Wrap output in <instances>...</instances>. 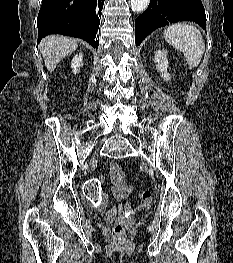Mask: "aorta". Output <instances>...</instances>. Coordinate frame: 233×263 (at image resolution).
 <instances>
[{
    "label": "aorta",
    "mask_w": 233,
    "mask_h": 263,
    "mask_svg": "<svg viewBox=\"0 0 233 263\" xmlns=\"http://www.w3.org/2000/svg\"><path fill=\"white\" fill-rule=\"evenodd\" d=\"M150 0H130L131 8L136 13H141L146 10Z\"/></svg>",
    "instance_id": "1"
}]
</instances>
